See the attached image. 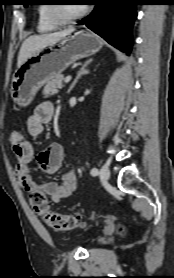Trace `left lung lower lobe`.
<instances>
[{"label": "left lung lower lobe", "mask_w": 174, "mask_h": 278, "mask_svg": "<svg viewBox=\"0 0 174 278\" xmlns=\"http://www.w3.org/2000/svg\"><path fill=\"white\" fill-rule=\"evenodd\" d=\"M90 15L78 22L123 52L130 53L137 0H96Z\"/></svg>", "instance_id": "1"}]
</instances>
